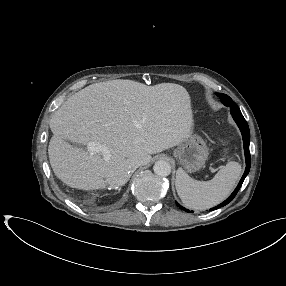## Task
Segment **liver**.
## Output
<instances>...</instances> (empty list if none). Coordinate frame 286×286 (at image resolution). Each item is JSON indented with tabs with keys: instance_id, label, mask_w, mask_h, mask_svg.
I'll return each mask as SVG.
<instances>
[{
	"instance_id": "obj_1",
	"label": "liver",
	"mask_w": 286,
	"mask_h": 286,
	"mask_svg": "<svg viewBox=\"0 0 286 286\" xmlns=\"http://www.w3.org/2000/svg\"><path fill=\"white\" fill-rule=\"evenodd\" d=\"M53 133L48 155L63 183L82 190L125 185L138 160L182 143L192 134L188 91L173 83L146 86L132 80L95 83L72 95L49 122ZM65 140L96 142L110 150V160L91 155Z\"/></svg>"
}]
</instances>
